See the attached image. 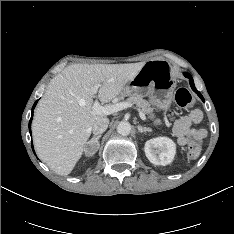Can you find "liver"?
<instances>
[{
    "label": "liver",
    "instance_id": "liver-1",
    "mask_svg": "<svg viewBox=\"0 0 234 234\" xmlns=\"http://www.w3.org/2000/svg\"><path fill=\"white\" fill-rule=\"evenodd\" d=\"M144 62L73 64L49 83L36 108L32 134L40 159L55 173L68 175L81 158L93 124L107 115L92 110L94 93L108 103L134 78Z\"/></svg>",
    "mask_w": 234,
    "mask_h": 234
}]
</instances>
